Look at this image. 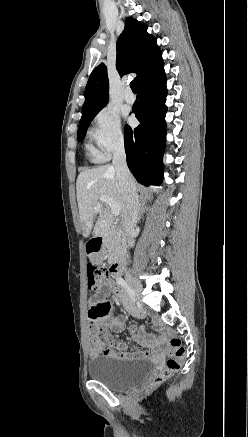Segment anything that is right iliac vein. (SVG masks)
Wrapping results in <instances>:
<instances>
[{
    "label": "right iliac vein",
    "instance_id": "right-iliac-vein-1",
    "mask_svg": "<svg viewBox=\"0 0 248 437\" xmlns=\"http://www.w3.org/2000/svg\"><path fill=\"white\" fill-rule=\"evenodd\" d=\"M127 281L129 283V285L132 287V289L134 290V292L136 293L137 297H140L141 292H142V285L140 282H138L136 279H134L131 276L127 277Z\"/></svg>",
    "mask_w": 248,
    "mask_h": 437
}]
</instances>
